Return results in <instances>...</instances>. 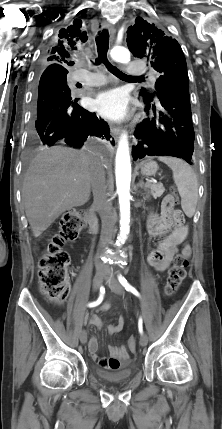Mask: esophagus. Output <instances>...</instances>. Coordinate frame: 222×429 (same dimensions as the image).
Returning a JSON list of instances; mask_svg holds the SVG:
<instances>
[{
  "instance_id": "34e87169",
  "label": "esophagus",
  "mask_w": 222,
  "mask_h": 429,
  "mask_svg": "<svg viewBox=\"0 0 222 429\" xmlns=\"http://www.w3.org/2000/svg\"><path fill=\"white\" fill-rule=\"evenodd\" d=\"M101 27L103 29H108L109 32H110V34H111V37L112 38L114 37V35H115V28L109 22L103 21L102 24H101ZM110 130H111V133H112L114 139L117 140L118 136L120 134V128L118 126L114 125V124H111L110 125Z\"/></svg>"
}]
</instances>
